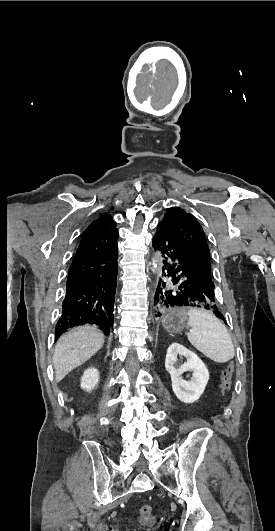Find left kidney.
I'll use <instances>...</instances> for the list:
<instances>
[{
	"label": "left kidney",
	"instance_id": "obj_1",
	"mask_svg": "<svg viewBox=\"0 0 275 531\" xmlns=\"http://www.w3.org/2000/svg\"><path fill=\"white\" fill-rule=\"evenodd\" d=\"M176 355H182V357L187 359V363L181 365L179 369L174 367L176 361H178ZM165 369L171 375L173 393H175L179 401H182V403H195V401H198L209 381V373L203 361L195 353H192L183 345H179V343H172L167 349ZM186 371H192L191 381L182 379L181 375L186 373Z\"/></svg>",
	"mask_w": 275,
	"mask_h": 531
}]
</instances>
